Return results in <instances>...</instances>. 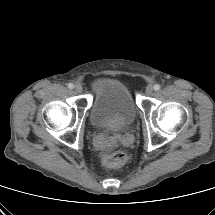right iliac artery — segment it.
<instances>
[{
    "instance_id": "obj_1",
    "label": "right iliac artery",
    "mask_w": 215,
    "mask_h": 215,
    "mask_svg": "<svg viewBox=\"0 0 215 215\" xmlns=\"http://www.w3.org/2000/svg\"><path fill=\"white\" fill-rule=\"evenodd\" d=\"M67 86L69 89H73V87H74V85L72 83H69Z\"/></svg>"
}]
</instances>
